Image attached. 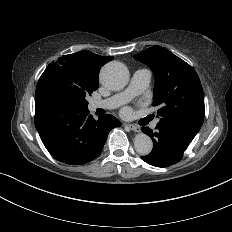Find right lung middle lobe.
<instances>
[{"mask_svg":"<svg viewBox=\"0 0 232 232\" xmlns=\"http://www.w3.org/2000/svg\"><path fill=\"white\" fill-rule=\"evenodd\" d=\"M97 88L98 81L82 78L52 62L37 83L35 97L49 96L68 106L87 109L86 96Z\"/></svg>","mask_w":232,"mask_h":232,"instance_id":"1","label":"right lung middle lobe"}]
</instances>
